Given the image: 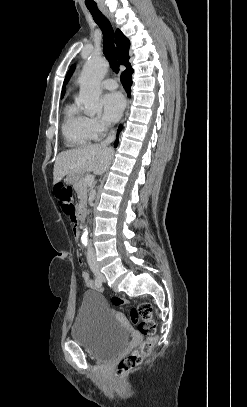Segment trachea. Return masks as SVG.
Returning <instances> with one entry per match:
<instances>
[{"label": "trachea", "mask_w": 247, "mask_h": 407, "mask_svg": "<svg viewBox=\"0 0 247 407\" xmlns=\"http://www.w3.org/2000/svg\"><path fill=\"white\" fill-rule=\"evenodd\" d=\"M94 21L103 32V47L106 58L108 59L112 70L117 74L119 64L116 58V48L114 45V31L109 20L100 12L97 6H87Z\"/></svg>", "instance_id": "3493384b"}]
</instances>
